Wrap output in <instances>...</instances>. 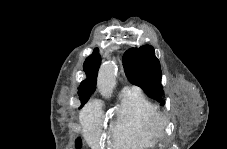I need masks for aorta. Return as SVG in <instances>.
Returning a JSON list of instances; mask_svg holds the SVG:
<instances>
[{
	"label": "aorta",
	"mask_w": 227,
	"mask_h": 149,
	"mask_svg": "<svg viewBox=\"0 0 227 149\" xmlns=\"http://www.w3.org/2000/svg\"><path fill=\"white\" fill-rule=\"evenodd\" d=\"M117 70V65L114 62H106L100 67L98 88L101 94L106 98L111 97L113 93L116 84Z\"/></svg>",
	"instance_id": "aorta-1"
}]
</instances>
